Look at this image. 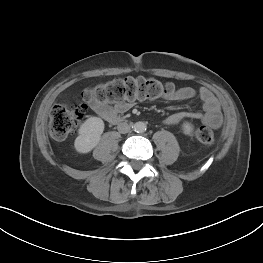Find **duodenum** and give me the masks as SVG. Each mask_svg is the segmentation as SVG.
Wrapping results in <instances>:
<instances>
[{
	"label": "duodenum",
	"instance_id": "obj_1",
	"mask_svg": "<svg viewBox=\"0 0 263 263\" xmlns=\"http://www.w3.org/2000/svg\"><path fill=\"white\" fill-rule=\"evenodd\" d=\"M111 121L119 122L121 119L119 117H112Z\"/></svg>",
	"mask_w": 263,
	"mask_h": 263
}]
</instances>
